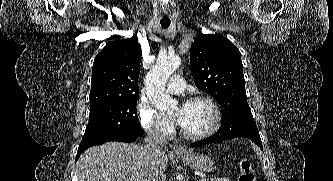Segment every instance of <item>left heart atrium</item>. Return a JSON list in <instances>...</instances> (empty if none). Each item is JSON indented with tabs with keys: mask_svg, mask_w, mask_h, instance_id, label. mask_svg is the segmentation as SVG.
Returning a JSON list of instances; mask_svg holds the SVG:
<instances>
[{
	"mask_svg": "<svg viewBox=\"0 0 333 181\" xmlns=\"http://www.w3.org/2000/svg\"><path fill=\"white\" fill-rule=\"evenodd\" d=\"M185 105L180 106L178 112L175 114L174 121L179 124L180 126H183L185 122Z\"/></svg>",
	"mask_w": 333,
	"mask_h": 181,
	"instance_id": "obj_1",
	"label": "left heart atrium"
}]
</instances>
